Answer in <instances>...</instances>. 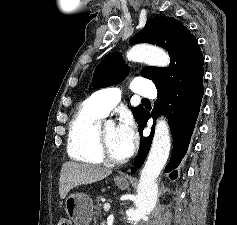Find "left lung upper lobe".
<instances>
[{
  "label": "left lung upper lobe",
  "instance_id": "obj_1",
  "mask_svg": "<svg viewBox=\"0 0 237 225\" xmlns=\"http://www.w3.org/2000/svg\"><path fill=\"white\" fill-rule=\"evenodd\" d=\"M152 43L169 52L171 64L166 68L147 66L140 75L151 79L157 90L182 86L203 76V54L191 32L173 17H156L147 20L145 27L132 39L131 44ZM119 53L108 55L95 69L92 85L95 88L108 87L122 82L128 75ZM138 123L144 107H132Z\"/></svg>",
  "mask_w": 237,
  "mask_h": 225
}]
</instances>
